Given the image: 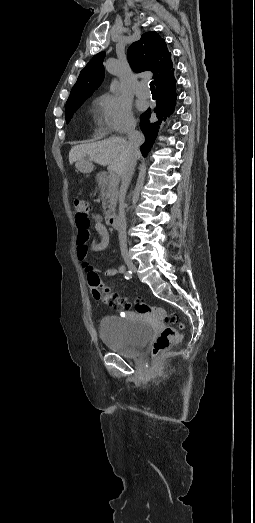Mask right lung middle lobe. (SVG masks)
<instances>
[{"label": "right lung middle lobe", "instance_id": "obj_1", "mask_svg": "<svg viewBox=\"0 0 255 523\" xmlns=\"http://www.w3.org/2000/svg\"><path fill=\"white\" fill-rule=\"evenodd\" d=\"M83 102H70L66 103L65 107V119L66 123H69L74 112L82 105Z\"/></svg>", "mask_w": 255, "mask_h": 523}]
</instances>
